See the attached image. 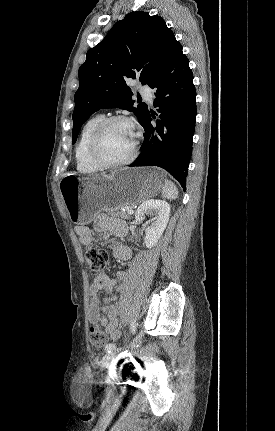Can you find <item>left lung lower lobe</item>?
I'll list each match as a JSON object with an SVG mask.
<instances>
[{"label":"left lung lower lobe","mask_w":275,"mask_h":431,"mask_svg":"<svg viewBox=\"0 0 275 431\" xmlns=\"http://www.w3.org/2000/svg\"><path fill=\"white\" fill-rule=\"evenodd\" d=\"M151 88L155 91L154 107H158L159 119H155L154 112L147 111L141 123L145 130L142 151L129 166L161 167L185 189L197 110L193 74L181 45L174 49Z\"/></svg>","instance_id":"0a47b994"}]
</instances>
